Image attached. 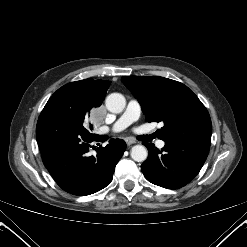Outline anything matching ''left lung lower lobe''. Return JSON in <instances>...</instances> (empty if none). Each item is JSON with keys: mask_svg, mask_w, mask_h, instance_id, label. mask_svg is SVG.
I'll list each match as a JSON object with an SVG mask.
<instances>
[{"mask_svg": "<svg viewBox=\"0 0 247 247\" xmlns=\"http://www.w3.org/2000/svg\"><path fill=\"white\" fill-rule=\"evenodd\" d=\"M159 150L145 143L148 158L141 165L144 176L153 184L178 189L199 173L210 149L211 133H189L165 140Z\"/></svg>", "mask_w": 247, "mask_h": 247, "instance_id": "left-lung-lower-lobe-1", "label": "left lung lower lobe"}]
</instances>
